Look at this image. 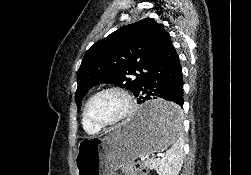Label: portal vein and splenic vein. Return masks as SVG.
Masks as SVG:
<instances>
[{
	"instance_id": "obj_1",
	"label": "portal vein and splenic vein",
	"mask_w": 251,
	"mask_h": 175,
	"mask_svg": "<svg viewBox=\"0 0 251 175\" xmlns=\"http://www.w3.org/2000/svg\"><path fill=\"white\" fill-rule=\"evenodd\" d=\"M150 157V154L149 153H143L141 156H140V159L141 160H146L147 158ZM151 157L152 158H164L165 157V154L162 152V151H159L158 153H152L151 154Z\"/></svg>"
}]
</instances>
